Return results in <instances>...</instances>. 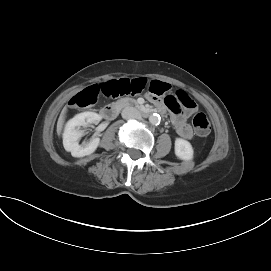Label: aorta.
Wrapping results in <instances>:
<instances>
[{"mask_svg":"<svg viewBox=\"0 0 271 271\" xmlns=\"http://www.w3.org/2000/svg\"><path fill=\"white\" fill-rule=\"evenodd\" d=\"M160 115L159 114H152L149 116V122L152 124V125H158L160 123Z\"/></svg>","mask_w":271,"mask_h":271,"instance_id":"obj_1","label":"aorta"}]
</instances>
